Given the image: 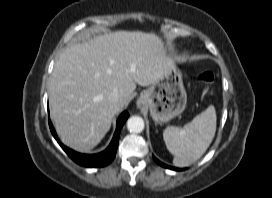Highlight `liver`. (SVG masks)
<instances>
[{
    "mask_svg": "<svg viewBox=\"0 0 272 198\" xmlns=\"http://www.w3.org/2000/svg\"><path fill=\"white\" fill-rule=\"evenodd\" d=\"M173 64L161 38L141 31L106 32L66 48L49 85L50 115L60 140L77 151L93 149L137 84L152 85ZM115 89L117 103L109 100Z\"/></svg>",
    "mask_w": 272,
    "mask_h": 198,
    "instance_id": "liver-1",
    "label": "liver"
}]
</instances>
